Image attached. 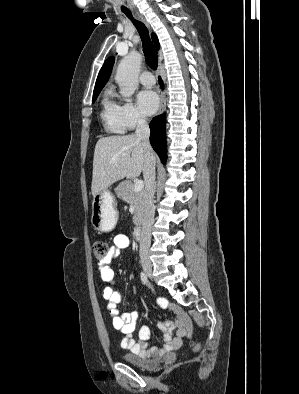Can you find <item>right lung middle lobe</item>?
<instances>
[{"label": "right lung middle lobe", "mask_w": 299, "mask_h": 394, "mask_svg": "<svg viewBox=\"0 0 299 394\" xmlns=\"http://www.w3.org/2000/svg\"><path fill=\"white\" fill-rule=\"evenodd\" d=\"M98 94L93 95V102L96 100Z\"/></svg>", "instance_id": "1"}]
</instances>
